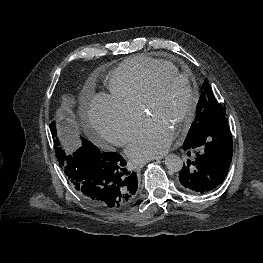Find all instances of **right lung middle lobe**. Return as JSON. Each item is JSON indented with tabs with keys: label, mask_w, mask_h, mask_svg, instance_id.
Listing matches in <instances>:
<instances>
[{
	"label": "right lung middle lobe",
	"mask_w": 263,
	"mask_h": 263,
	"mask_svg": "<svg viewBox=\"0 0 263 263\" xmlns=\"http://www.w3.org/2000/svg\"><path fill=\"white\" fill-rule=\"evenodd\" d=\"M50 130L52 133V137L54 139V147L56 157L62 169L67 165L69 159H71L77 152L87 149H97L91 142L87 141L86 139L82 138V145L77 149L69 150L67 148V141L65 137H62V131L57 130L56 123L53 121L50 125Z\"/></svg>",
	"instance_id": "right-lung-middle-lobe-1"
}]
</instances>
